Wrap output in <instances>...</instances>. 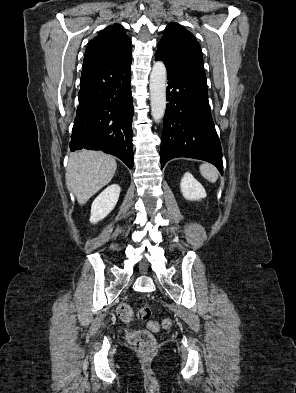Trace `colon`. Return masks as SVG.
<instances>
[{
    "instance_id": "5ec220e1",
    "label": "colon",
    "mask_w": 296,
    "mask_h": 393,
    "mask_svg": "<svg viewBox=\"0 0 296 393\" xmlns=\"http://www.w3.org/2000/svg\"><path fill=\"white\" fill-rule=\"evenodd\" d=\"M118 314L123 321H131L134 318V312L127 303H121L118 307ZM151 311L149 308H141L138 312V316L141 319L149 318ZM172 321L170 319H164L161 324L157 322H149V330H138L132 331L128 334L129 343L137 347L143 356H150L156 350V342L151 332L158 331L160 327L170 328Z\"/></svg>"
}]
</instances>
